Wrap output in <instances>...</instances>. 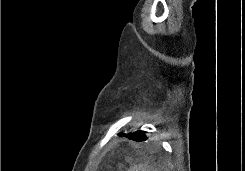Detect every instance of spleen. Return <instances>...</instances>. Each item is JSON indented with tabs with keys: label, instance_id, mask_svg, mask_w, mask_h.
Instances as JSON below:
<instances>
[{
	"label": "spleen",
	"instance_id": "3e777b00",
	"mask_svg": "<svg viewBox=\"0 0 245 171\" xmlns=\"http://www.w3.org/2000/svg\"><path fill=\"white\" fill-rule=\"evenodd\" d=\"M128 171H156L153 166H150L147 163L139 164L130 168Z\"/></svg>",
	"mask_w": 245,
	"mask_h": 171
}]
</instances>
